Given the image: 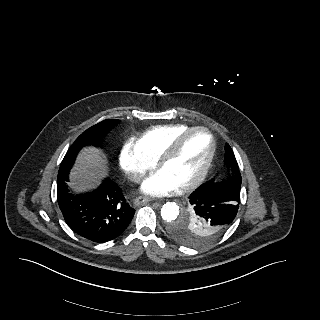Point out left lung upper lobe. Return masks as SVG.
Instances as JSON below:
<instances>
[{
	"mask_svg": "<svg viewBox=\"0 0 320 320\" xmlns=\"http://www.w3.org/2000/svg\"><path fill=\"white\" fill-rule=\"evenodd\" d=\"M224 163V173L228 179L219 182L212 179L209 183H222L240 189L242 181L241 174L234 153L228 143L225 145ZM208 230V224L191 206L186 213L183 224L173 223L168 227V231L176 240L189 246H194L201 241L209 240L207 236Z\"/></svg>",
	"mask_w": 320,
	"mask_h": 320,
	"instance_id": "left-lung-upper-lobe-1",
	"label": "left lung upper lobe"
}]
</instances>
